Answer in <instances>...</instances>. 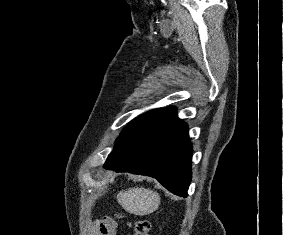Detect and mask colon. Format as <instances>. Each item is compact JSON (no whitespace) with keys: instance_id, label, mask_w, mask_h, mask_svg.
<instances>
[{"instance_id":"5ec220e1","label":"colon","mask_w":283,"mask_h":235,"mask_svg":"<svg viewBox=\"0 0 283 235\" xmlns=\"http://www.w3.org/2000/svg\"><path fill=\"white\" fill-rule=\"evenodd\" d=\"M150 222L147 219H137L133 222V235H149Z\"/></svg>"}]
</instances>
